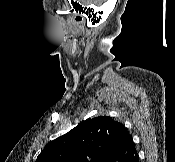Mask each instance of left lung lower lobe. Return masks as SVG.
Listing matches in <instances>:
<instances>
[{
    "label": "left lung lower lobe",
    "instance_id": "left-lung-lower-lobe-1",
    "mask_svg": "<svg viewBox=\"0 0 175 162\" xmlns=\"http://www.w3.org/2000/svg\"><path fill=\"white\" fill-rule=\"evenodd\" d=\"M108 162H139V157L129 132L116 147Z\"/></svg>",
    "mask_w": 175,
    "mask_h": 162
}]
</instances>
